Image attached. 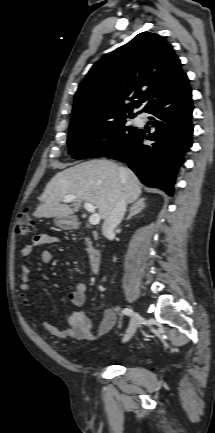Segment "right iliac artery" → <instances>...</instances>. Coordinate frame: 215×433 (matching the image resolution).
Wrapping results in <instances>:
<instances>
[{
	"instance_id": "right-iliac-artery-1",
	"label": "right iliac artery",
	"mask_w": 215,
	"mask_h": 433,
	"mask_svg": "<svg viewBox=\"0 0 215 433\" xmlns=\"http://www.w3.org/2000/svg\"><path fill=\"white\" fill-rule=\"evenodd\" d=\"M122 313L128 316H132L133 315V311L129 308H124L122 309Z\"/></svg>"
}]
</instances>
